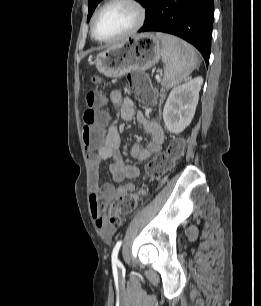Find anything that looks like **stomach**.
<instances>
[{"mask_svg": "<svg viewBox=\"0 0 261 306\" xmlns=\"http://www.w3.org/2000/svg\"><path fill=\"white\" fill-rule=\"evenodd\" d=\"M161 51L162 45L154 33H140L98 53L93 63L106 77H122L132 71L150 69L159 62Z\"/></svg>", "mask_w": 261, "mask_h": 306, "instance_id": "stomach-1", "label": "stomach"}]
</instances>
